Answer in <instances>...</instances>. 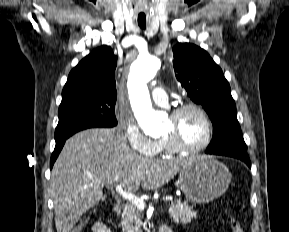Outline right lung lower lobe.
<instances>
[{
  "mask_svg": "<svg viewBox=\"0 0 289 232\" xmlns=\"http://www.w3.org/2000/svg\"><path fill=\"white\" fill-rule=\"evenodd\" d=\"M66 139L65 140H62V141H59V142H56V146H55V149H54V152L52 153L51 155V160H50V168H52L56 158L58 157L64 143H65Z\"/></svg>",
  "mask_w": 289,
  "mask_h": 232,
  "instance_id": "right-lung-lower-lobe-1",
  "label": "right lung lower lobe"
}]
</instances>
